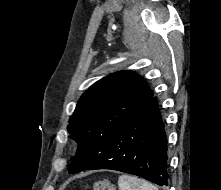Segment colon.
<instances>
[{"label":"colon","mask_w":221,"mask_h":190,"mask_svg":"<svg viewBox=\"0 0 221 190\" xmlns=\"http://www.w3.org/2000/svg\"><path fill=\"white\" fill-rule=\"evenodd\" d=\"M92 189L93 190H114V188L111 185V183L108 180H106V179L96 181L92 185Z\"/></svg>","instance_id":"1"}]
</instances>
